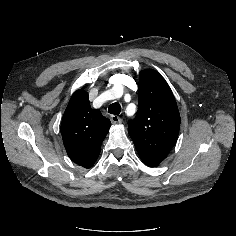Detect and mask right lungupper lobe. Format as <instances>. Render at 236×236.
Masks as SVG:
<instances>
[{
  "label": "right lung upper lobe",
  "mask_w": 236,
  "mask_h": 236,
  "mask_svg": "<svg viewBox=\"0 0 236 236\" xmlns=\"http://www.w3.org/2000/svg\"><path fill=\"white\" fill-rule=\"evenodd\" d=\"M110 126L109 119L90 107L88 93L77 90L68 103L60 128L70 159L84 168L92 167Z\"/></svg>",
  "instance_id": "right-lung-upper-lobe-1"
}]
</instances>
